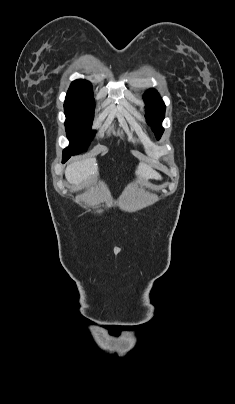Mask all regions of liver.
Here are the masks:
<instances>
[{
	"label": "liver",
	"mask_w": 235,
	"mask_h": 404,
	"mask_svg": "<svg viewBox=\"0 0 235 404\" xmlns=\"http://www.w3.org/2000/svg\"><path fill=\"white\" fill-rule=\"evenodd\" d=\"M98 173V167L95 158H87L73 162L66 167L65 177L69 183L79 186L86 183L91 177ZM136 174L139 179L161 180V175L156 172L151 166L140 163L137 167Z\"/></svg>",
	"instance_id": "liver-1"
}]
</instances>
